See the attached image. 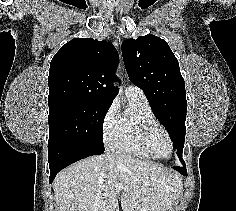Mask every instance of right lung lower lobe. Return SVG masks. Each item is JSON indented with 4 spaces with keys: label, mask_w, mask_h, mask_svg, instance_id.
<instances>
[{
    "label": "right lung lower lobe",
    "mask_w": 236,
    "mask_h": 211,
    "mask_svg": "<svg viewBox=\"0 0 236 211\" xmlns=\"http://www.w3.org/2000/svg\"><path fill=\"white\" fill-rule=\"evenodd\" d=\"M103 149L89 144H56L48 146V161L50 168L49 183L56 174L66 166L88 156L102 154Z\"/></svg>",
    "instance_id": "1"
}]
</instances>
